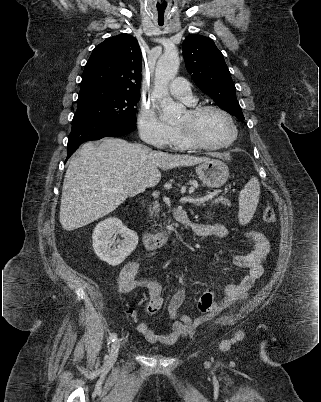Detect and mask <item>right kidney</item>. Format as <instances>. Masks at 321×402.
<instances>
[{
	"instance_id": "1",
	"label": "right kidney",
	"mask_w": 321,
	"mask_h": 402,
	"mask_svg": "<svg viewBox=\"0 0 321 402\" xmlns=\"http://www.w3.org/2000/svg\"><path fill=\"white\" fill-rule=\"evenodd\" d=\"M121 235L123 240H117L118 246L111 248L114 236ZM93 249L98 258L111 266H117L129 256L138 244L137 234L126 228L121 220L115 217L107 218L98 223L94 229Z\"/></svg>"
}]
</instances>
